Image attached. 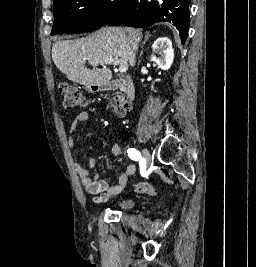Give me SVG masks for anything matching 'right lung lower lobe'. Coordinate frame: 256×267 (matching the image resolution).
<instances>
[{"label":"right lung lower lobe","instance_id":"98d812e1","mask_svg":"<svg viewBox=\"0 0 256 267\" xmlns=\"http://www.w3.org/2000/svg\"><path fill=\"white\" fill-rule=\"evenodd\" d=\"M189 4L190 0H132L123 15L110 23L141 28L157 22L173 23L184 44L189 26Z\"/></svg>","mask_w":256,"mask_h":267}]
</instances>
